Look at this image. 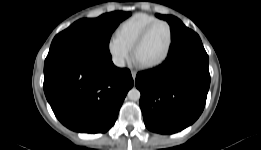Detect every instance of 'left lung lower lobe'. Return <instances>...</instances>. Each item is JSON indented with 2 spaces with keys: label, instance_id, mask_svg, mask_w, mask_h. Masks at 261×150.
<instances>
[{
  "label": "left lung lower lobe",
  "instance_id": "obj_1",
  "mask_svg": "<svg viewBox=\"0 0 261 150\" xmlns=\"http://www.w3.org/2000/svg\"><path fill=\"white\" fill-rule=\"evenodd\" d=\"M208 64L200 37L187 28L172 40L162 65L137 74L140 107L150 131L172 134L198 119L210 86Z\"/></svg>",
  "mask_w": 261,
  "mask_h": 150
}]
</instances>
